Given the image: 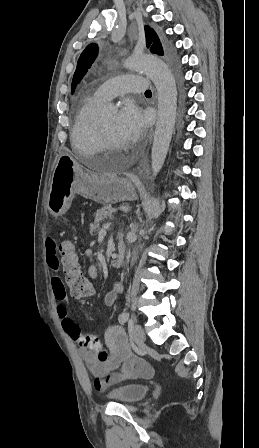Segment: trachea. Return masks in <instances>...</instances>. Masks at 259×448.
<instances>
[{"label":"trachea","mask_w":259,"mask_h":448,"mask_svg":"<svg viewBox=\"0 0 259 448\" xmlns=\"http://www.w3.org/2000/svg\"><path fill=\"white\" fill-rule=\"evenodd\" d=\"M145 93H152V92H151V90H146V92H145Z\"/></svg>","instance_id":"1"}]
</instances>
